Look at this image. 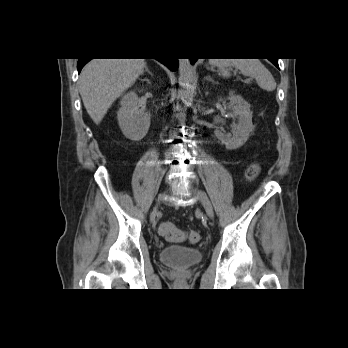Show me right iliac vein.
Returning a JSON list of instances; mask_svg holds the SVG:
<instances>
[{
	"instance_id": "right-iliac-vein-1",
	"label": "right iliac vein",
	"mask_w": 348,
	"mask_h": 348,
	"mask_svg": "<svg viewBox=\"0 0 348 348\" xmlns=\"http://www.w3.org/2000/svg\"><path fill=\"white\" fill-rule=\"evenodd\" d=\"M164 196H165V194H160V195H159L158 201H157V205H159V204L163 201Z\"/></svg>"
}]
</instances>
